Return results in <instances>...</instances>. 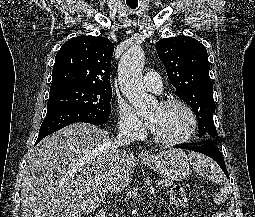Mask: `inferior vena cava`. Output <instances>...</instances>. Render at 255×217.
<instances>
[{
    "label": "inferior vena cava",
    "mask_w": 255,
    "mask_h": 217,
    "mask_svg": "<svg viewBox=\"0 0 255 217\" xmlns=\"http://www.w3.org/2000/svg\"><path fill=\"white\" fill-rule=\"evenodd\" d=\"M135 139V132L129 128H121L118 136L114 140V144L111 150V163H110V173L112 175L110 183L112 182L113 176L117 172L118 161H119V150L121 146H127L132 143ZM110 192L112 193V186L110 185Z\"/></svg>",
    "instance_id": "obj_1"
}]
</instances>
